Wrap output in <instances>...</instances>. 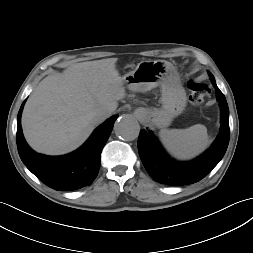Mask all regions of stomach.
I'll return each instance as SVG.
<instances>
[{"instance_id":"0dacf381","label":"stomach","mask_w":253,"mask_h":253,"mask_svg":"<svg viewBox=\"0 0 253 253\" xmlns=\"http://www.w3.org/2000/svg\"><path fill=\"white\" fill-rule=\"evenodd\" d=\"M123 80L132 91L146 92L160 85L162 107L145 110L142 118L157 128L168 127L186 107L187 96L174 66L165 60H145L124 75Z\"/></svg>"}]
</instances>
